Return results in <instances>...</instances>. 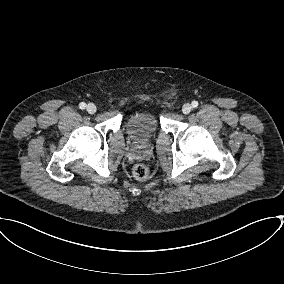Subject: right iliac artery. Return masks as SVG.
Masks as SVG:
<instances>
[{
	"label": "right iliac artery",
	"mask_w": 284,
	"mask_h": 284,
	"mask_svg": "<svg viewBox=\"0 0 284 284\" xmlns=\"http://www.w3.org/2000/svg\"><path fill=\"white\" fill-rule=\"evenodd\" d=\"M85 107H86V104L84 102L79 104V108L80 109H85Z\"/></svg>",
	"instance_id": "right-iliac-artery-1"
}]
</instances>
